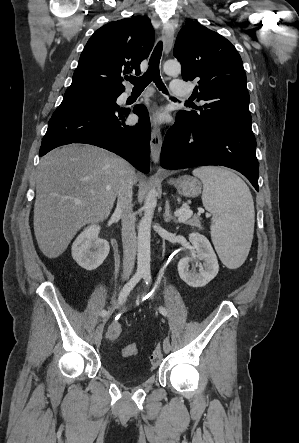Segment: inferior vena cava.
I'll return each mask as SVG.
<instances>
[{"label":"inferior vena cava","instance_id":"inferior-vena-cava-1","mask_svg":"<svg viewBox=\"0 0 299 443\" xmlns=\"http://www.w3.org/2000/svg\"><path fill=\"white\" fill-rule=\"evenodd\" d=\"M135 180L131 175L124 179L119 191L116 211L122 218V242H123V274L129 275L134 268L137 238L135 232L136 218L132 214V187Z\"/></svg>","mask_w":299,"mask_h":443}]
</instances>
